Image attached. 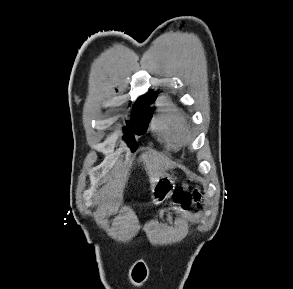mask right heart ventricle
Here are the masks:
<instances>
[{
    "mask_svg": "<svg viewBox=\"0 0 293 289\" xmlns=\"http://www.w3.org/2000/svg\"><path fill=\"white\" fill-rule=\"evenodd\" d=\"M159 139L169 148H177L188 142L190 130L182 115L171 107H164L152 121Z\"/></svg>",
    "mask_w": 293,
    "mask_h": 289,
    "instance_id": "1",
    "label": "right heart ventricle"
}]
</instances>
